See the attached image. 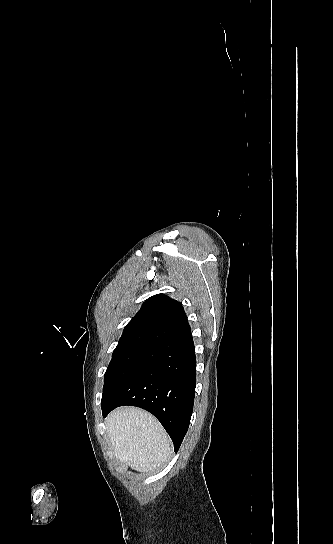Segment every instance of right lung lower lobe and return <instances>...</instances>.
<instances>
[{
    "mask_svg": "<svg viewBox=\"0 0 333 544\" xmlns=\"http://www.w3.org/2000/svg\"><path fill=\"white\" fill-rule=\"evenodd\" d=\"M196 386V357L189 332L154 345L129 380L102 406V415L131 405L152 413L177 452L187 433Z\"/></svg>",
    "mask_w": 333,
    "mask_h": 544,
    "instance_id": "98d812e1",
    "label": "right lung lower lobe"
}]
</instances>
